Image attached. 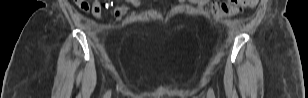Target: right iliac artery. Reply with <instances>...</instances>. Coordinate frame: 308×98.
<instances>
[{"label":"right iliac artery","mask_w":308,"mask_h":98,"mask_svg":"<svg viewBox=\"0 0 308 98\" xmlns=\"http://www.w3.org/2000/svg\"><path fill=\"white\" fill-rule=\"evenodd\" d=\"M111 96V91L106 92V94L104 95V98H110Z\"/></svg>","instance_id":"1"}]
</instances>
